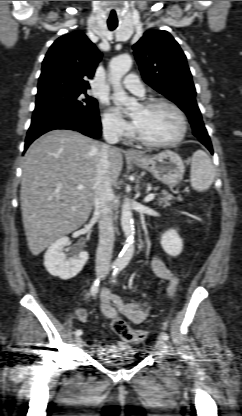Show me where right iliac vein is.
Masks as SVG:
<instances>
[{"instance_id":"1","label":"right iliac vein","mask_w":242,"mask_h":416,"mask_svg":"<svg viewBox=\"0 0 242 416\" xmlns=\"http://www.w3.org/2000/svg\"><path fill=\"white\" fill-rule=\"evenodd\" d=\"M99 272H101V270H99ZM82 343V338L81 337H76L75 338V344L78 346Z\"/></svg>"}]
</instances>
